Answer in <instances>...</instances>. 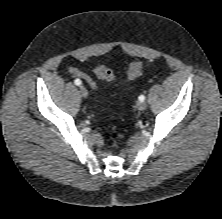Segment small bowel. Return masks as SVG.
Masks as SVG:
<instances>
[{"label": "small bowel", "instance_id": "1", "mask_svg": "<svg viewBox=\"0 0 222 219\" xmlns=\"http://www.w3.org/2000/svg\"><path fill=\"white\" fill-rule=\"evenodd\" d=\"M70 72H71V74H72L73 76H76V77H78V78L83 79L84 81H86L87 83H89L91 86H94V85H95V83H94V81L92 80V78H91L88 74H86V73H84L83 71L79 70L78 68L72 67V68L70 69Z\"/></svg>", "mask_w": 222, "mask_h": 219}]
</instances>
